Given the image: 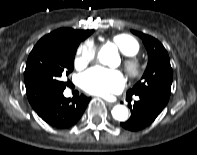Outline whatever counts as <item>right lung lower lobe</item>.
Wrapping results in <instances>:
<instances>
[{
    "instance_id": "1",
    "label": "right lung lower lobe",
    "mask_w": 197,
    "mask_h": 155,
    "mask_svg": "<svg viewBox=\"0 0 197 155\" xmlns=\"http://www.w3.org/2000/svg\"><path fill=\"white\" fill-rule=\"evenodd\" d=\"M89 97L81 95L69 99L63 96V92L42 104L35 111L48 124L64 129L75 124L85 111Z\"/></svg>"
}]
</instances>
